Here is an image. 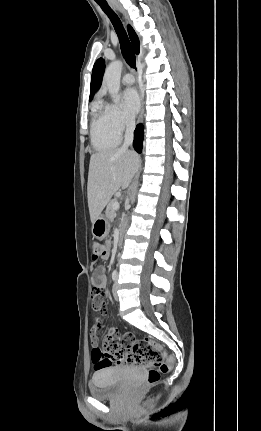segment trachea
<instances>
[{"instance_id": "trachea-1", "label": "trachea", "mask_w": 261, "mask_h": 431, "mask_svg": "<svg viewBox=\"0 0 261 431\" xmlns=\"http://www.w3.org/2000/svg\"><path fill=\"white\" fill-rule=\"evenodd\" d=\"M98 4L102 8V10L107 14V16L109 17V19L111 20V22L115 28V31H116L118 38H119L121 51H122V54H123L125 61L127 62V64L130 67L135 68V66H136L135 65V62H136L135 54H134V51H133V48H132L131 43L129 41V38L126 34V31H125L119 17L110 8V6L107 3H98Z\"/></svg>"}]
</instances>
